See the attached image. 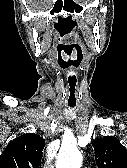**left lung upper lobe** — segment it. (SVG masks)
Masks as SVG:
<instances>
[{"instance_id":"left-lung-upper-lobe-1","label":"left lung upper lobe","mask_w":127,"mask_h":168,"mask_svg":"<svg viewBox=\"0 0 127 168\" xmlns=\"http://www.w3.org/2000/svg\"><path fill=\"white\" fill-rule=\"evenodd\" d=\"M98 168H127V150L114 136L93 142Z\"/></svg>"}]
</instances>
